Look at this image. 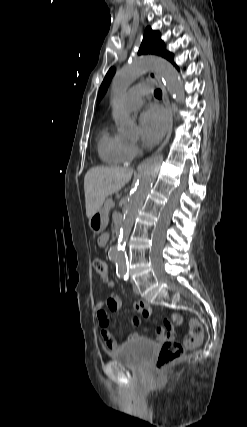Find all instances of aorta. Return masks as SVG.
<instances>
[{
	"label": "aorta",
	"mask_w": 247,
	"mask_h": 427,
	"mask_svg": "<svg viewBox=\"0 0 247 427\" xmlns=\"http://www.w3.org/2000/svg\"><path fill=\"white\" fill-rule=\"evenodd\" d=\"M148 70H153L165 83L168 91L176 102L183 103L185 99L184 86L181 78L169 63L153 56H144L133 59L126 66L119 69L111 83V97L114 105V119L119 131L124 136L137 134L136 122L118 107V103L134 80ZM163 156H156L142 169L137 184L131 194L129 204L124 213L118 244L109 250V257L116 264L119 274L127 271L125 244L128 239L139 210L143 206L153 181L157 176Z\"/></svg>",
	"instance_id": "1"
}]
</instances>
